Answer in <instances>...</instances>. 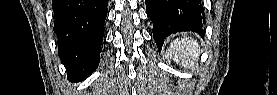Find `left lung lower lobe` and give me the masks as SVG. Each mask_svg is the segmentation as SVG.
I'll use <instances>...</instances> for the list:
<instances>
[{
  "label": "left lung lower lobe",
  "instance_id": "0a47b994",
  "mask_svg": "<svg viewBox=\"0 0 277 95\" xmlns=\"http://www.w3.org/2000/svg\"><path fill=\"white\" fill-rule=\"evenodd\" d=\"M145 3L159 50L164 39L172 33L194 31L203 34L205 30L200 0H145Z\"/></svg>",
  "mask_w": 277,
  "mask_h": 95
}]
</instances>
